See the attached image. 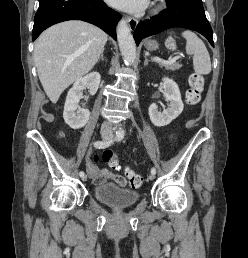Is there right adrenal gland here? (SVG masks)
<instances>
[{
	"label": "right adrenal gland",
	"instance_id": "obj_1",
	"mask_svg": "<svg viewBox=\"0 0 248 258\" xmlns=\"http://www.w3.org/2000/svg\"><path fill=\"white\" fill-rule=\"evenodd\" d=\"M100 60H104V50L102 51L101 56H100V58L98 59V62H99Z\"/></svg>",
	"mask_w": 248,
	"mask_h": 258
}]
</instances>
